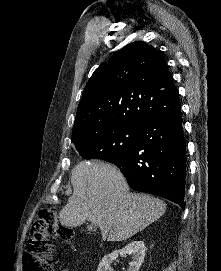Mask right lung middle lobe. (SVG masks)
I'll use <instances>...</instances> for the list:
<instances>
[{"label": "right lung middle lobe", "mask_w": 221, "mask_h": 271, "mask_svg": "<svg viewBox=\"0 0 221 271\" xmlns=\"http://www.w3.org/2000/svg\"><path fill=\"white\" fill-rule=\"evenodd\" d=\"M141 127L119 125L72 140L84 159L115 162L137 142Z\"/></svg>", "instance_id": "obj_1"}]
</instances>
